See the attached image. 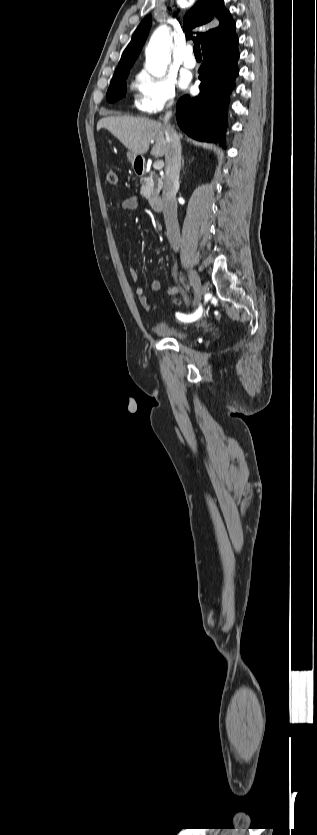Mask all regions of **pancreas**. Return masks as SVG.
<instances>
[{"mask_svg": "<svg viewBox=\"0 0 317 835\" xmlns=\"http://www.w3.org/2000/svg\"><path fill=\"white\" fill-rule=\"evenodd\" d=\"M141 183L142 187L140 193L149 201V203L151 204L153 201L157 200L159 192L162 188V179L154 178L153 173H151L148 177L144 178Z\"/></svg>", "mask_w": 317, "mask_h": 835, "instance_id": "cf45deb5", "label": "pancreas"}]
</instances>
